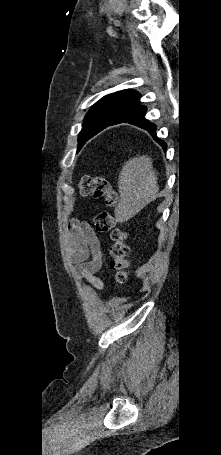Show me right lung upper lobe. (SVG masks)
<instances>
[{"label":"right lung upper lobe","instance_id":"1","mask_svg":"<svg viewBox=\"0 0 221 455\" xmlns=\"http://www.w3.org/2000/svg\"><path fill=\"white\" fill-rule=\"evenodd\" d=\"M140 94L133 90H122L113 94H109L95 105H108L121 108L126 112L139 105Z\"/></svg>","mask_w":221,"mask_h":455}]
</instances>
